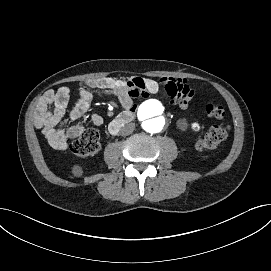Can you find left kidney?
<instances>
[{"label":"left kidney","instance_id":"left-kidney-1","mask_svg":"<svg viewBox=\"0 0 271 271\" xmlns=\"http://www.w3.org/2000/svg\"><path fill=\"white\" fill-rule=\"evenodd\" d=\"M194 129L198 130L199 128H198V126H197V125H194Z\"/></svg>","mask_w":271,"mask_h":271}]
</instances>
